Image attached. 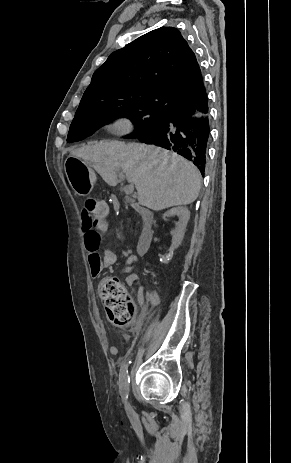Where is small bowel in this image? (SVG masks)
<instances>
[{"label": "small bowel", "mask_w": 291, "mask_h": 463, "mask_svg": "<svg viewBox=\"0 0 291 463\" xmlns=\"http://www.w3.org/2000/svg\"><path fill=\"white\" fill-rule=\"evenodd\" d=\"M108 230L107 217H97L95 229H84L83 231V247L87 253V263L89 273L92 278H98L105 268L112 267L118 260V256L112 250H106L103 254L99 253L102 235ZM135 256L128 254L126 267L125 282L128 286L136 285L138 287V302L143 306V287L139 283L138 276L131 272L130 265L133 263ZM112 355H119L120 348L118 345L111 347Z\"/></svg>", "instance_id": "1"}]
</instances>
